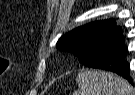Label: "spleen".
<instances>
[{"label":"spleen","mask_w":135,"mask_h":95,"mask_svg":"<svg viewBox=\"0 0 135 95\" xmlns=\"http://www.w3.org/2000/svg\"><path fill=\"white\" fill-rule=\"evenodd\" d=\"M76 81L79 89L73 95H135L127 81L104 71H82Z\"/></svg>","instance_id":"spleen-1"}]
</instances>
